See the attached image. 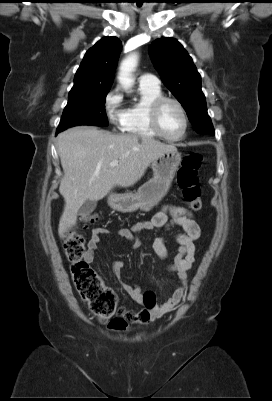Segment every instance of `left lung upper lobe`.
I'll use <instances>...</instances> for the list:
<instances>
[{
    "label": "left lung upper lobe",
    "instance_id": "1",
    "mask_svg": "<svg viewBox=\"0 0 272 401\" xmlns=\"http://www.w3.org/2000/svg\"><path fill=\"white\" fill-rule=\"evenodd\" d=\"M162 82L184 107L198 133L215 134L201 90V76L184 47L173 38L155 40L149 47Z\"/></svg>",
    "mask_w": 272,
    "mask_h": 401
}]
</instances>
